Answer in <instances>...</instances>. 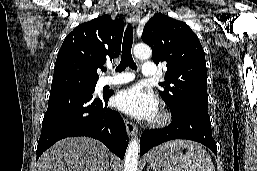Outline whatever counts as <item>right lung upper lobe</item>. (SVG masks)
<instances>
[{
    "label": "right lung upper lobe",
    "mask_w": 257,
    "mask_h": 171,
    "mask_svg": "<svg viewBox=\"0 0 257 171\" xmlns=\"http://www.w3.org/2000/svg\"><path fill=\"white\" fill-rule=\"evenodd\" d=\"M124 24L103 15L69 33L58 52L52 86L97 82V69L120 54Z\"/></svg>",
    "instance_id": "obj_1"
}]
</instances>
